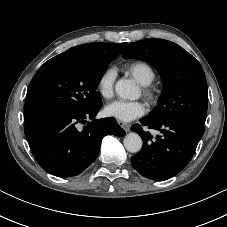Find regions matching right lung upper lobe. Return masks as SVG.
<instances>
[{
    "instance_id": "1",
    "label": "right lung upper lobe",
    "mask_w": 227,
    "mask_h": 227,
    "mask_svg": "<svg viewBox=\"0 0 227 227\" xmlns=\"http://www.w3.org/2000/svg\"><path fill=\"white\" fill-rule=\"evenodd\" d=\"M127 46V43L108 44V43H88L79 45L67 50V53H74L86 57H101L108 54L112 49H116L120 53ZM26 119L25 121H28Z\"/></svg>"
}]
</instances>
